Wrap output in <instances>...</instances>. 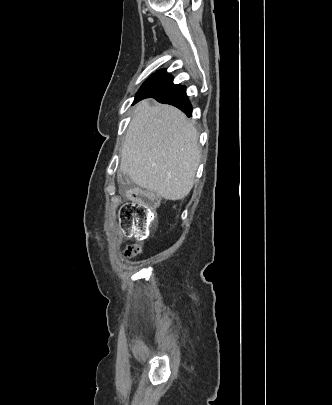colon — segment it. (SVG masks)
<instances>
[{
	"label": "colon",
	"instance_id": "5ec220e1",
	"mask_svg": "<svg viewBox=\"0 0 332 405\" xmlns=\"http://www.w3.org/2000/svg\"><path fill=\"white\" fill-rule=\"evenodd\" d=\"M158 198L146 190L139 191L132 201L123 203L119 208V223L124 232L143 236L150 232L156 221L155 207ZM140 253L138 245H131L125 251L127 257Z\"/></svg>",
	"mask_w": 332,
	"mask_h": 405
}]
</instances>
